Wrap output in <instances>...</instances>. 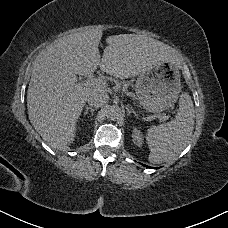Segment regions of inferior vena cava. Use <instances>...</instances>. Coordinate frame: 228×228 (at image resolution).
Returning <instances> with one entry per match:
<instances>
[{"mask_svg":"<svg viewBox=\"0 0 228 228\" xmlns=\"http://www.w3.org/2000/svg\"><path fill=\"white\" fill-rule=\"evenodd\" d=\"M109 100V95L104 90L92 91L87 97V102L95 108L102 107Z\"/></svg>","mask_w":228,"mask_h":228,"instance_id":"inferior-vena-cava-1","label":"inferior vena cava"}]
</instances>
